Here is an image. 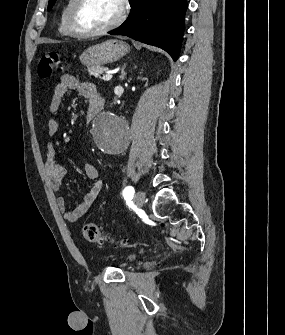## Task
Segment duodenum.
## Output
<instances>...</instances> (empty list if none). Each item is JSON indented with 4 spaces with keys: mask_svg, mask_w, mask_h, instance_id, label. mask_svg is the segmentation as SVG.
Returning <instances> with one entry per match:
<instances>
[{
    "mask_svg": "<svg viewBox=\"0 0 285 335\" xmlns=\"http://www.w3.org/2000/svg\"><path fill=\"white\" fill-rule=\"evenodd\" d=\"M102 105H103L102 99H98L90 103L86 114L87 122H90L98 114Z\"/></svg>",
    "mask_w": 285,
    "mask_h": 335,
    "instance_id": "1",
    "label": "duodenum"
}]
</instances>
